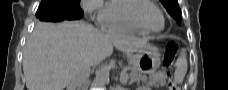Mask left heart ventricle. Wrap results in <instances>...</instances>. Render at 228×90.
I'll return each mask as SVG.
<instances>
[{
    "label": "left heart ventricle",
    "mask_w": 228,
    "mask_h": 90,
    "mask_svg": "<svg viewBox=\"0 0 228 90\" xmlns=\"http://www.w3.org/2000/svg\"><path fill=\"white\" fill-rule=\"evenodd\" d=\"M142 18L145 24L151 29H159L162 27V18L159 12L151 7L148 6L142 11Z\"/></svg>",
    "instance_id": "left-heart-ventricle-1"
}]
</instances>
